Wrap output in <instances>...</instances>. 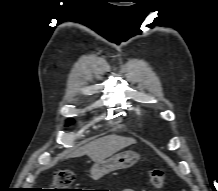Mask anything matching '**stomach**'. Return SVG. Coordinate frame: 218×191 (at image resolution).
Wrapping results in <instances>:
<instances>
[{
	"mask_svg": "<svg viewBox=\"0 0 218 191\" xmlns=\"http://www.w3.org/2000/svg\"><path fill=\"white\" fill-rule=\"evenodd\" d=\"M139 160V155L127 151L111 156L101 162H96L91 168V178L98 180L106 174L133 166Z\"/></svg>",
	"mask_w": 218,
	"mask_h": 191,
	"instance_id": "1",
	"label": "stomach"
}]
</instances>
